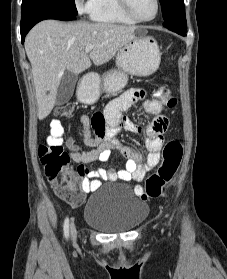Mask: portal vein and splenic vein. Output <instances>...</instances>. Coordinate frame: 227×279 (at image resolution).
Listing matches in <instances>:
<instances>
[{"label": "portal vein and splenic vein", "mask_w": 227, "mask_h": 279, "mask_svg": "<svg viewBox=\"0 0 227 279\" xmlns=\"http://www.w3.org/2000/svg\"><path fill=\"white\" fill-rule=\"evenodd\" d=\"M93 48H94V46L92 44L87 45L85 48V53H89Z\"/></svg>", "instance_id": "18ae733b"}]
</instances>
